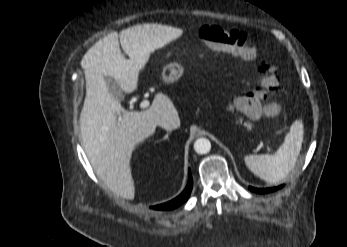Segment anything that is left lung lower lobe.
Masks as SVG:
<instances>
[{"mask_svg":"<svg viewBox=\"0 0 347 247\" xmlns=\"http://www.w3.org/2000/svg\"><path fill=\"white\" fill-rule=\"evenodd\" d=\"M283 185L281 186H278V187H274V188H267V189H258V188H253V187H249V189L253 192H256V193H269V192H273V191H276L280 188H282Z\"/></svg>","mask_w":347,"mask_h":247,"instance_id":"left-lung-lower-lobe-1","label":"left lung lower lobe"}]
</instances>
